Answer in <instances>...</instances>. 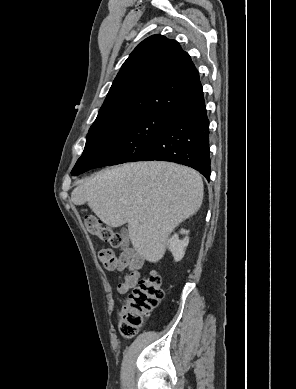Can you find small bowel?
Wrapping results in <instances>:
<instances>
[{
	"label": "small bowel",
	"instance_id": "obj_1",
	"mask_svg": "<svg viewBox=\"0 0 296 389\" xmlns=\"http://www.w3.org/2000/svg\"><path fill=\"white\" fill-rule=\"evenodd\" d=\"M99 259L101 264L107 270H124L128 269V274L118 284V291L122 294L128 292L135 287L139 277L140 269L143 266V258L131 248L122 250L118 257L115 256L113 251L105 249L100 251ZM109 260L111 262L109 263Z\"/></svg>",
	"mask_w": 296,
	"mask_h": 389
}]
</instances>
